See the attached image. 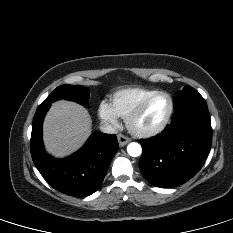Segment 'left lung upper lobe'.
I'll list each match as a JSON object with an SVG mask.
<instances>
[{"instance_id":"5c2ea615","label":"left lung upper lobe","mask_w":233,"mask_h":233,"mask_svg":"<svg viewBox=\"0 0 233 233\" xmlns=\"http://www.w3.org/2000/svg\"><path fill=\"white\" fill-rule=\"evenodd\" d=\"M196 105L207 106L204 98L190 86H185L179 91L174 100L175 113Z\"/></svg>"}]
</instances>
